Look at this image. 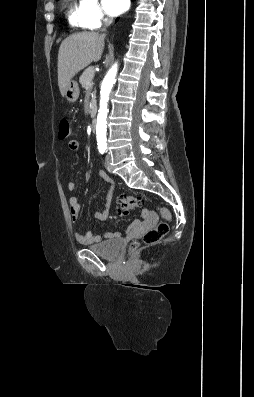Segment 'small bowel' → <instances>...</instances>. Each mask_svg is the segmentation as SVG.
I'll use <instances>...</instances> for the list:
<instances>
[{
    "mask_svg": "<svg viewBox=\"0 0 254 397\" xmlns=\"http://www.w3.org/2000/svg\"><path fill=\"white\" fill-rule=\"evenodd\" d=\"M68 147L71 151H77L79 149V142L77 140H70L68 143ZM99 177L110 184V188L107 191L105 197V209L102 211H95L94 216L98 220H105L108 218L110 213V205L113 197L114 192V181L103 171L98 172ZM77 185L75 181H70L67 185V188L70 192L75 191ZM69 204V211L71 216L72 223H76L79 218V213L81 210V204L77 197L71 196L68 200ZM144 216L146 219L151 218L152 214L149 212H145ZM120 236L118 232H107L103 236L95 235L91 231H86L85 233H76L75 239L80 244L89 245L94 244L102 241L103 238L105 239H115Z\"/></svg>",
    "mask_w": 254,
    "mask_h": 397,
    "instance_id": "obj_1",
    "label": "small bowel"
}]
</instances>
